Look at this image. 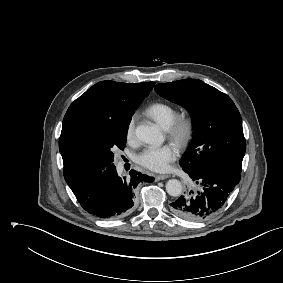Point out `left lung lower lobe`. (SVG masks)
<instances>
[{
    "label": "left lung lower lobe",
    "mask_w": 283,
    "mask_h": 283,
    "mask_svg": "<svg viewBox=\"0 0 283 283\" xmlns=\"http://www.w3.org/2000/svg\"><path fill=\"white\" fill-rule=\"evenodd\" d=\"M184 171L191 178L194 189L172 202L170 208L175 215L188 221H203L215 215L241 178L240 173L224 168Z\"/></svg>",
    "instance_id": "1"
}]
</instances>
